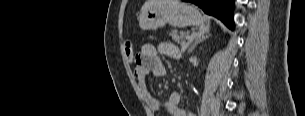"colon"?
I'll use <instances>...</instances> for the list:
<instances>
[{"label":"colon","mask_w":305,"mask_h":116,"mask_svg":"<svg viewBox=\"0 0 305 116\" xmlns=\"http://www.w3.org/2000/svg\"><path fill=\"white\" fill-rule=\"evenodd\" d=\"M124 48H125V55H126L128 61L130 63H132L134 61V58H135L134 48H133L132 42L130 40L126 41Z\"/></svg>","instance_id":"5ec220e1"}]
</instances>
